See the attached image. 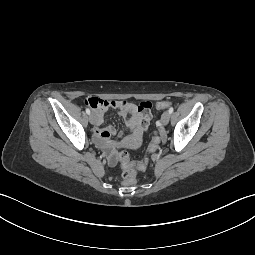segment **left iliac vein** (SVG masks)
Here are the masks:
<instances>
[{"mask_svg":"<svg viewBox=\"0 0 255 255\" xmlns=\"http://www.w3.org/2000/svg\"><path fill=\"white\" fill-rule=\"evenodd\" d=\"M170 120V113L169 111H165L161 116V122L163 125H167Z\"/></svg>","mask_w":255,"mask_h":255,"instance_id":"1","label":"left iliac vein"}]
</instances>
